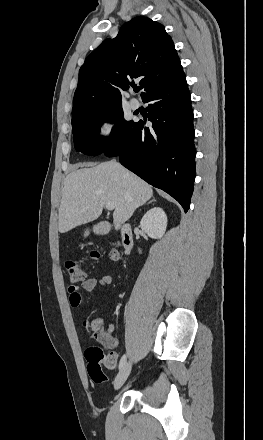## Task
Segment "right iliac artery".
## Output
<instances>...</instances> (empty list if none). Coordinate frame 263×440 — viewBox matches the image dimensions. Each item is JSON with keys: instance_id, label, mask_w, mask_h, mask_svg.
Segmentation results:
<instances>
[{"instance_id": "obj_1", "label": "right iliac artery", "mask_w": 263, "mask_h": 440, "mask_svg": "<svg viewBox=\"0 0 263 440\" xmlns=\"http://www.w3.org/2000/svg\"><path fill=\"white\" fill-rule=\"evenodd\" d=\"M125 363H126V355H123L119 362V369H121Z\"/></svg>"}]
</instances>
